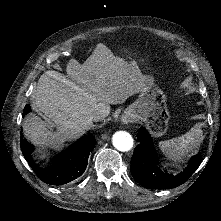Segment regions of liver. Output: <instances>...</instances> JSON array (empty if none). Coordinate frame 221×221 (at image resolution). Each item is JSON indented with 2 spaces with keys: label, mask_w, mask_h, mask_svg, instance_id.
Masks as SVG:
<instances>
[{
  "label": "liver",
  "mask_w": 221,
  "mask_h": 221,
  "mask_svg": "<svg viewBox=\"0 0 221 221\" xmlns=\"http://www.w3.org/2000/svg\"><path fill=\"white\" fill-rule=\"evenodd\" d=\"M67 74L70 79L55 70L44 72L31 94L34 109L57 128L52 132L36 115L25 117L24 135L35 146L57 149L65 141L82 136L93 126L90 117L99 107H108L113 96L120 98L128 91L136 92L142 80L136 70L131 71L120 59H115L102 43L97 44L82 66L70 60Z\"/></svg>",
  "instance_id": "1"
}]
</instances>
